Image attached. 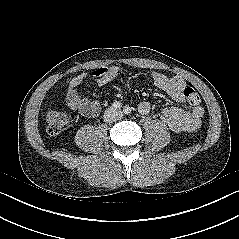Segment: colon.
<instances>
[{"mask_svg":"<svg viewBox=\"0 0 239 239\" xmlns=\"http://www.w3.org/2000/svg\"><path fill=\"white\" fill-rule=\"evenodd\" d=\"M183 95L192 106H197L200 102L198 92L191 86L184 87ZM46 121L48 132L51 135H57L71 123L72 116L67 111L51 110L46 115Z\"/></svg>","mask_w":239,"mask_h":239,"instance_id":"1","label":"colon"}]
</instances>
